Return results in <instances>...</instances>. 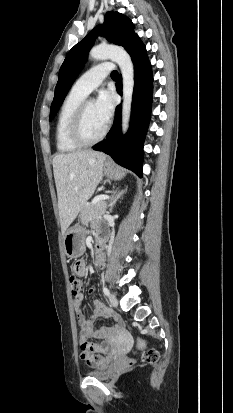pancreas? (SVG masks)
<instances>
[{
	"instance_id": "1",
	"label": "pancreas",
	"mask_w": 233,
	"mask_h": 413,
	"mask_svg": "<svg viewBox=\"0 0 233 413\" xmlns=\"http://www.w3.org/2000/svg\"><path fill=\"white\" fill-rule=\"evenodd\" d=\"M105 212L106 202L103 200L97 202L96 204L84 205L80 212V221L83 225H86Z\"/></svg>"
}]
</instances>
